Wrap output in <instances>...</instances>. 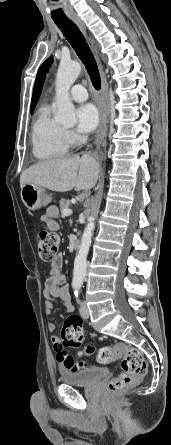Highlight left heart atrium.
<instances>
[{"label":"left heart atrium","instance_id":"39dd6f15","mask_svg":"<svg viewBox=\"0 0 171 445\" xmlns=\"http://www.w3.org/2000/svg\"><path fill=\"white\" fill-rule=\"evenodd\" d=\"M77 130L81 133L92 132L99 123V112L91 103L83 104L77 109Z\"/></svg>","mask_w":171,"mask_h":445}]
</instances>
